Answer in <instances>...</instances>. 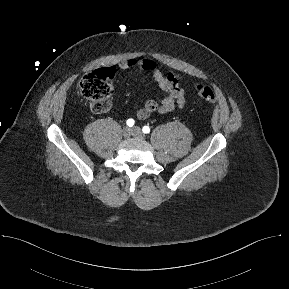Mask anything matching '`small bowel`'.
<instances>
[{"label": "small bowel", "instance_id": "1", "mask_svg": "<svg viewBox=\"0 0 289 289\" xmlns=\"http://www.w3.org/2000/svg\"><path fill=\"white\" fill-rule=\"evenodd\" d=\"M122 69L139 68L151 73L155 82L162 91L160 102L147 100L136 111V117L140 120L148 118L152 113H170L182 109L186 104L185 91L182 88L184 78L175 73L165 75L157 66L156 62L149 58H131L119 64Z\"/></svg>", "mask_w": 289, "mask_h": 289}]
</instances>
